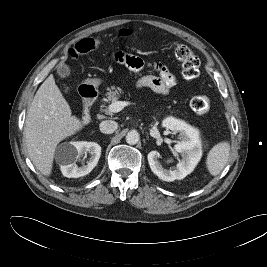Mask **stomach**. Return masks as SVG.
<instances>
[{"mask_svg": "<svg viewBox=\"0 0 267 267\" xmlns=\"http://www.w3.org/2000/svg\"><path fill=\"white\" fill-rule=\"evenodd\" d=\"M88 83L91 84V85H93V86H95V87H97L101 83V80L95 78V79L89 80Z\"/></svg>", "mask_w": 267, "mask_h": 267, "instance_id": "stomach-1", "label": "stomach"}]
</instances>
